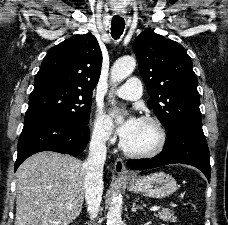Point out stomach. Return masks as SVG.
Returning a JSON list of instances; mask_svg holds the SVG:
<instances>
[{
    "mask_svg": "<svg viewBox=\"0 0 228 225\" xmlns=\"http://www.w3.org/2000/svg\"><path fill=\"white\" fill-rule=\"evenodd\" d=\"M129 191L138 193L144 197H153V199H164L177 191V183L171 175L166 173H152V175H144V177H132L126 179Z\"/></svg>",
    "mask_w": 228,
    "mask_h": 225,
    "instance_id": "1",
    "label": "stomach"
}]
</instances>
